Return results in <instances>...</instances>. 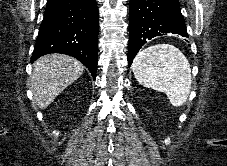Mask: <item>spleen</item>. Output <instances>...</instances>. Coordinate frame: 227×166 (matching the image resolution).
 <instances>
[{
  "instance_id": "obj_1",
  "label": "spleen",
  "mask_w": 227,
  "mask_h": 166,
  "mask_svg": "<svg viewBox=\"0 0 227 166\" xmlns=\"http://www.w3.org/2000/svg\"><path fill=\"white\" fill-rule=\"evenodd\" d=\"M132 69L141 85L165 93L173 106H182L187 101L191 68L185 55L173 45L159 44L139 51Z\"/></svg>"
}]
</instances>
